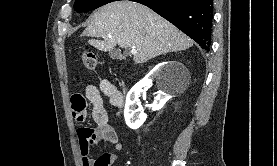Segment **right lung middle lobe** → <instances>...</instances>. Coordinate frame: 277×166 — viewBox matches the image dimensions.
Instances as JSON below:
<instances>
[{
    "instance_id": "right-lung-middle-lobe-1",
    "label": "right lung middle lobe",
    "mask_w": 277,
    "mask_h": 166,
    "mask_svg": "<svg viewBox=\"0 0 277 166\" xmlns=\"http://www.w3.org/2000/svg\"><path fill=\"white\" fill-rule=\"evenodd\" d=\"M113 1L116 0H76L74 10L76 12H88Z\"/></svg>"
}]
</instances>
